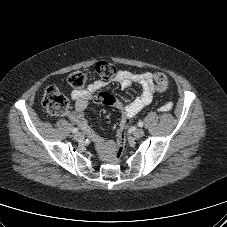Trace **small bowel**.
<instances>
[{"mask_svg":"<svg viewBox=\"0 0 227 227\" xmlns=\"http://www.w3.org/2000/svg\"><path fill=\"white\" fill-rule=\"evenodd\" d=\"M113 81L118 83L122 88H128L135 83L138 84L142 90L141 94L130 103H124L109 93H101L94 98L95 102H101L114 106L121 111L123 119L120 125V130L117 134V141L100 137L88 125L84 117V111L89 104L92 94L105 87L107 82L104 80H96L89 84L87 88L74 90L71 93L75 110L69 114V118L76 125L80 126L94 141L100 157L105 161H108L114 155L118 145V135L120 131L134 116H136L144 107L151 103L155 92L154 78L153 74L150 72L135 73L128 70H120L113 78ZM171 107L172 105L167 103L160 109L162 111H167L170 110Z\"/></svg>","mask_w":227,"mask_h":227,"instance_id":"small-bowel-1","label":"small bowel"}]
</instances>
